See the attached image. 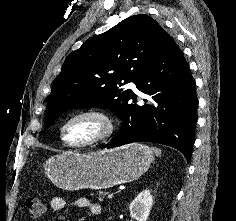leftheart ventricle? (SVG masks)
Instances as JSON below:
<instances>
[{
    "label": "left heart ventricle",
    "mask_w": 236,
    "mask_h": 221,
    "mask_svg": "<svg viewBox=\"0 0 236 221\" xmlns=\"http://www.w3.org/2000/svg\"><path fill=\"white\" fill-rule=\"evenodd\" d=\"M105 130L97 117L85 116L72 121L65 129V138L71 144H81L99 136Z\"/></svg>",
    "instance_id": "1"
}]
</instances>
